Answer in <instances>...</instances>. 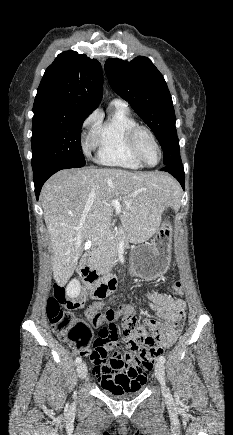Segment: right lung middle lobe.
I'll return each mask as SVG.
<instances>
[{
	"label": "right lung middle lobe",
	"mask_w": 233,
	"mask_h": 435,
	"mask_svg": "<svg viewBox=\"0 0 233 435\" xmlns=\"http://www.w3.org/2000/svg\"><path fill=\"white\" fill-rule=\"evenodd\" d=\"M88 115L38 116L32 120V168L48 163L83 167L82 123Z\"/></svg>",
	"instance_id": "dd1d6c3e"
}]
</instances>
